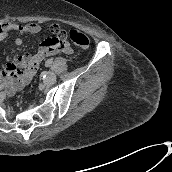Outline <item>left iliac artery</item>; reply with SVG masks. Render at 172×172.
I'll use <instances>...</instances> for the list:
<instances>
[{
	"instance_id": "obj_1",
	"label": "left iliac artery",
	"mask_w": 172,
	"mask_h": 172,
	"mask_svg": "<svg viewBox=\"0 0 172 172\" xmlns=\"http://www.w3.org/2000/svg\"><path fill=\"white\" fill-rule=\"evenodd\" d=\"M50 64H52V60L51 59H49L47 62H46V65L47 66H49ZM46 76H44V78H45Z\"/></svg>"
}]
</instances>
